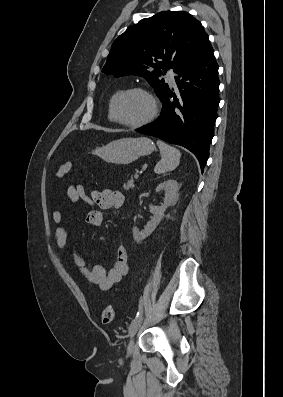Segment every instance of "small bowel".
<instances>
[{
    "mask_svg": "<svg viewBox=\"0 0 283 397\" xmlns=\"http://www.w3.org/2000/svg\"><path fill=\"white\" fill-rule=\"evenodd\" d=\"M67 195L72 203L83 201L90 206L86 215V223L100 225L103 220V211L120 209L125 201L124 195L119 191L96 190L91 196L85 192L83 185H70ZM52 218L55 223V239L59 249L65 248L68 240V233L64 225V217L61 211L54 210ZM72 261L79 269L82 276L101 290H109L118 283L128 272V254L123 245L117 247L116 259L111 269L106 270L102 265L96 264L91 268L86 266L85 258L76 250H73Z\"/></svg>",
    "mask_w": 283,
    "mask_h": 397,
    "instance_id": "c3829d8e",
    "label": "small bowel"
}]
</instances>
